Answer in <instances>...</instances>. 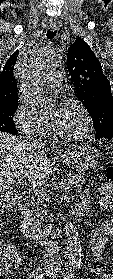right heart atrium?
<instances>
[{
    "label": "right heart atrium",
    "mask_w": 113,
    "mask_h": 279,
    "mask_svg": "<svg viewBox=\"0 0 113 279\" xmlns=\"http://www.w3.org/2000/svg\"><path fill=\"white\" fill-rule=\"evenodd\" d=\"M13 121L20 134L28 140L39 139L47 132L45 123L22 99L13 113Z\"/></svg>",
    "instance_id": "obj_1"
}]
</instances>
